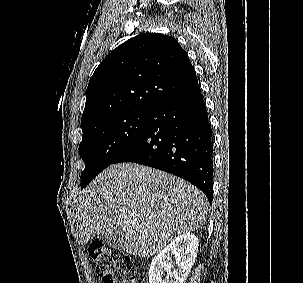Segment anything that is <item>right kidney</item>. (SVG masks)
I'll list each match as a JSON object with an SVG mask.
<instances>
[{"mask_svg": "<svg viewBox=\"0 0 303 283\" xmlns=\"http://www.w3.org/2000/svg\"><path fill=\"white\" fill-rule=\"evenodd\" d=\"M199 241L192 233L174 238L151 262L149 283H184L197 256ZM177 268L171 271L172 257Z\"/></svg>", "mask_w": 303, "mask_h": 283, "instance_id": "ca27d5eb", "label": "right kidney"}]
</instances>
